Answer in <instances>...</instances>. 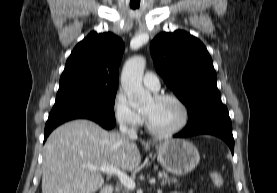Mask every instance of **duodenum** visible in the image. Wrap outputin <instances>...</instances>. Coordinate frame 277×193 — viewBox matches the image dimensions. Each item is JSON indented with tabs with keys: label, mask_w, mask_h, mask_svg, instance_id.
Here are the masks:
<instances>
[{
	"label": "duodenum",
	"mask_w": 277,
	"mask_h": 193,
	"mask_svg": "<svg viewBox=\"0 0 277 193\" xmlns=\"http://www.w3.org/2000/svg\"><path fill=\"white\" fill-rule=\"evenodd\" d=\"M113 191L114 188L112 185H106L101 189L100 193H113Z\"/></svg>",
	"instance_id": "duodenum-1"
}]
</instances>
